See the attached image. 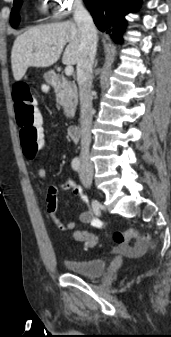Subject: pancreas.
Returning <instances> with one entry per match:
<instances>
[{
  "label": "pancreas",
  "instance_id": "cf45deb5",
  "mask_svg": "<svg viewBox=\"0 0 171 337\" xmlns=\"http://www.w3.org/2000/svg\"><path fill=\"white\" fill-rule=\"evenodd\" d=\"M55 93L56 101L63 107L65 116L72 118L78 102L76 85L63 77L62 83L60 87L55 90Z\"/></svg>",
  "mask_w": 171,
  "mask_h": 337
}]
</instances>
